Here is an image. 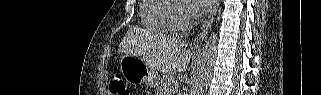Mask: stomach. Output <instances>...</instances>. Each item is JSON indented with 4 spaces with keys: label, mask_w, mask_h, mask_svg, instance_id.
<instances>
[{
    "label": "stomach",
    "mask_w": 321,
    "mask_h": 95,
    "mask_svg": "<svg viewBox=\"0 0 321 95\" xmlns=\"http://www.w3.org/2000/svg\"><path fill=\"white\" fill-rule=\"evenodd\" d=\"M120 71L123 78L130 84H146L152 87L158 80V72L137 56L122 55Z\"/></svg>",
    "instance_id": "stomach-1"
}]
</instances>
